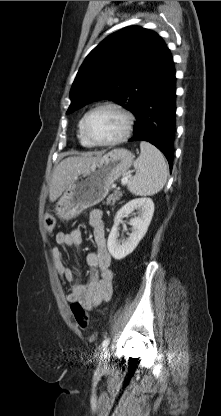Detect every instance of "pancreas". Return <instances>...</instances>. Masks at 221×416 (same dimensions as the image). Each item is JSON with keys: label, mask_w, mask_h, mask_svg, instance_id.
<instances>
[{"label": "pancreas", "mask_w": 221, "mask_h": 416, "mask_svg": "<svg viewBox=\"0 0 221 416\" xmlns=\"http://www.w3.org/2000/svg\"><path fill=\"white\" fill-rule=\"evenodd\" d=\"M122 194L118 191H115L113 194L109 195L106 200V205H114L116 201L120 200Z\"/></svg>", "instance_id": "obj_1"}]
</instances>
